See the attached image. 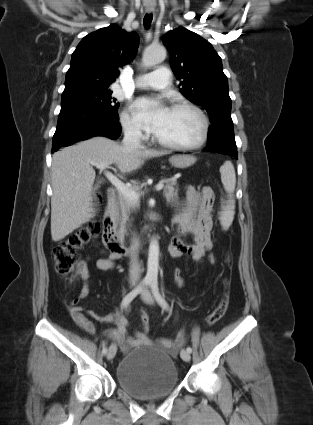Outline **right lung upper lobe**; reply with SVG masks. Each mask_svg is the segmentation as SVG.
Listing matches in <instances>:
<instances>
[{
  "mask_svg": "<svg viewBox=\"0 0 313 425\" xmlns=\"http://www.w3.org/2000/svg\"><path fill=\"white\" fill-rule=\"evenodd\" d=\"M139 36L116 24L85 36L72 54L63 93L82 89L109 88L137 53Z\"/></svg>",
  "mask_w": 313,
  "mask_h": 425,
  "instance_id": "right-lung-upper-lobe-1",
  "label": "right lung upper lobe"
}]
</instances>
